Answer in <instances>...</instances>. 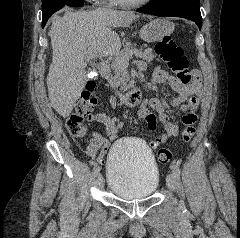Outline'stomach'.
I'll list each match as a JSON object with an SVG mask.
<instances>
[{"label":"stomach","mask_w":240,"mask_h":238,"mask_svg":"<svg viewBox=\"0 0 240 238\" xmlns=\"http://www.w3.org/2000/svg\"><path fill=\"white\" fill-rule=\"evenodd\" d=\"M174 31V24L167 20L157 18L145 24L140 30V37L146 42L160 41Z\"/></svg>","instance_id":"0dacf381"}]
</instances>
